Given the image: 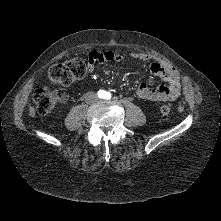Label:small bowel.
<instances>
[{"instance_id": "small-bowel-1", "label": "small bowel", "mask_w": 221, "mask_h": 221, "mask_svg": "<svg viewBox=\"0 0 221 221\" xmlns=\"http://www.w3.org/2000/svg\"><path fill=\"white\" fill-rule=\"evenodd\" d=\"M131 57L142 62H150L149 70L152 75L166 82L165 86L150 88L146 83H140L136 95L148 101H172L180 95L181 83L177 70L170 64L148 53H132ZM125 56L114 51H91L88 54L89 71H93L96 64L110 61H123Z\"/></svg>"}]
</instances>
